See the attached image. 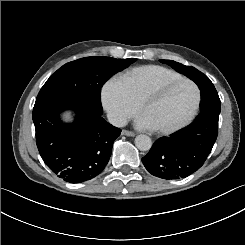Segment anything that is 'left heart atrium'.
Wrapping results in <instances>:
<instances>
[{
	"mask_svg": "<svg viewBox=\"0 0 245 245\" xmlns=\"http://www.w3.org/2000/svg\"><path fill=\"white\" fill-rule=\"evenodd\" d=\"M137 125L140 128H148V127H150L141 116L137 119Z\"/></svg>",
	"mask_w": 245,
	"mask_h": 245,
	"instance_id": "39dd6f15",
	"label": "left heart atrium"
}]
</instances>
